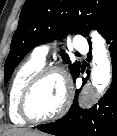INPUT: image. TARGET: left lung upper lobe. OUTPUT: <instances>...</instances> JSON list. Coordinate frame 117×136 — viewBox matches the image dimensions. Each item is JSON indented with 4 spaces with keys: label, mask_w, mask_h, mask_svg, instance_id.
I'll return each mask as SVG.
<instances>
[{
    "label": "left lung upper lobe",
    "mask_w": 117,
    "mask_h": 136,
    "mask_svg": "<svg viewBox=\"0 0 117 136\" xmlns=\"http://www.w3.org/2000/svg\"><path fill=\"white\" fill-rule=\"evenodd\" d=\"M116 18L117 0H27L5 62V83L35 46L61 39L69 33L88 37L90 29L103 34ZM88 42L91 43L90 37ZM62 59L69 64L74 79L80 72V63H70L66 53Z\"/></svg>",
    "instance_id": "obj_1"
}]
</instances>
